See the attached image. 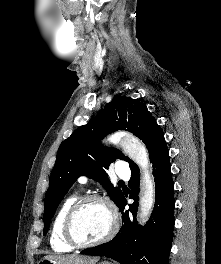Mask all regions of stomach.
<instances>
[{
    "label": "stomach",
    "instance_id": "obj_1",
    "mask_svg": "<svg viewBox=\"0 0 221 264\" xmlns=\"http://www.w3.org/2000/svg\"><path fill=\"white\" fill-rule=\"evenodd\" d=\"M38 264H62L59 261L51 260V259H42L38 262ZM99 264H111L110 262L104 261Z\"/></svg>",
    "mask_w": 221,
    "mask_h": 264
}]
</instances>
